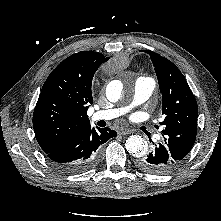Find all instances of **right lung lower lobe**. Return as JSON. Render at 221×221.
<instances>
[{
    "mask_svg": "<svg viewBox=\"0 0 221 221\" xmlns=\"http://www.w3.org/2000/svg\"><path fill=\"white\" fill-rule=\"evenodd\" d=\"M116 136V131L109 128L97 127L96 130L90 126L46 154L58 170L81 173L96 165L101 145Z\"/></svg>",
    "mask_w": 221,
    "mask_h": 221,
    "instance_id": "obj_1",
    "label": "right lung lower lobe"
}]
</instances>
